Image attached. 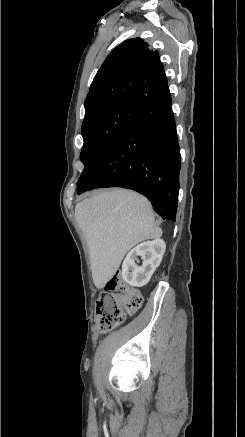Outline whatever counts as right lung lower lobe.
Wrapping results in <instances>:
<instances>
[{"mask_svg":"<svg viewBox=\"0 0 245 437\" xmlns=\"http://www.w3.org/2000/svg\"><path fill=\"white\" fill-rule=\"evenodd\" d=\"M179 150L171 96L145 104L82 181L77 193L101 187L133 189L146 196L163 219L175 221Z\"/></svg>","mask_w":245,"mask_h":437,"instance_id":"1","label":"right lung lower lobe"}]
</instances>
